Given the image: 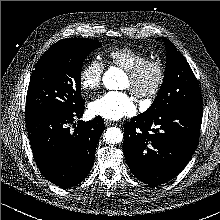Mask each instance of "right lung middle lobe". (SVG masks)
I'll return each mask as SVG.
<instances>
[{"mask_svg": "<svg viewBox=\"0 0 220 220\" xmlns=\"http://www.w3.org/2000/svg\"><path fill=\"white\" fill-rule=\"evenodd\" d=\"M101 45L88 38H66L50 47L32 72L25 111H73L83 105L80 84L83 61Z\"/></svg>", "mask_w": 220, "mask_h": 220, "instance_id": "obj_1", "label": "right lung middle lobe"}]
</instances>
